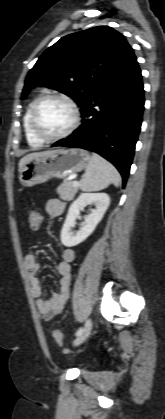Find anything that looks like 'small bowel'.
I'll return each instance as SVG.
<instances>
[{
    "label": "small bowel",
    "instance_id": "obj_1",
    "mask_svg": "<svg viewBox=\"0 0 165 419\" xmlns=\"http://www.w3.org/2000/svg\"><path fill=\"white\" fill-rule=\"evenodd\" d=\"M46 213L51 218L60 216L64 211V203L52 199L46 203ZM75 258V252L69 247L63 248L61 260L57 264V272L61 276L58 292H53L48 298L43 297V287L38 276L41 264L35 254L25 256L24 263L29 278L32 294L35 298V305L45 321H50L61 313L69 298V291L72 283L71 262Z\"/></svg>",
    "mask_w": 165,
    "mask_h": 419
}]
</instances>
